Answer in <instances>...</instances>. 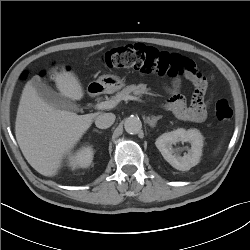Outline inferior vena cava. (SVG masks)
Returning <instances> with one entry per match:
<instances>
[{
  "mask_svg": "<svg viewBox=\"0 0 250 250\" xmlns=\"http://www.w3.org/2000/svg\"><path fill=\"white\" fill-rule=\"evenodd\" d=\"M115 118L116 117L113 113L100 114L95 120V125L99 129L109 128L114 123Z\"/></svg>",
  "mask_w": 250,
  "mask_h": 250,
  "instance_id": "1",
  "label": "inferior vena cava"
}]
</instances>
